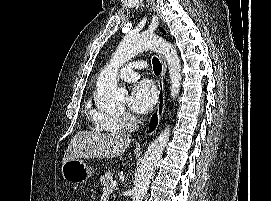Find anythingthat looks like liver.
Masks as SVG:
<instances>
[{"instance_id":"6515ba94","label":"liver","mask_w":271,"mask_h":201,"mask_svg":"<svg viewBox=\"0 0 271 201\" xmlns=\"http://www.w3.org/2000/svg\"><path fill=\"white\" fill-rule=\"evenodd\" d=\"M130 135L79 131L71 139L63 163L80 158H114L122 155L130 145Z\"/></svg>"}]
</instances>
